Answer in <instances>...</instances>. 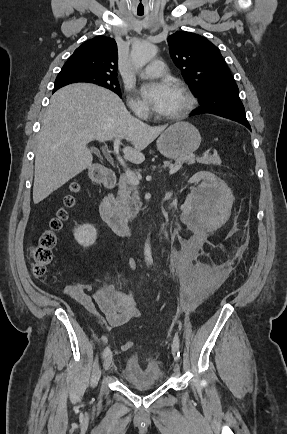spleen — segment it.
<instances>
[{"instance_id":"obj_1","label":"spleen","mask_w":287,"mask_h":434,"mask_svg":"<svg viewBox=\"0 0 287 434\" xmlns=\"http://www.w3.org/2000/svg\"><path fill=\"white\" fill-rule=\"evenodd\" d=\"M214 224H219V223H221L222 221L221 220H219V221H217V220H213L212 221Z\"/></svg>"}]
</instances>
